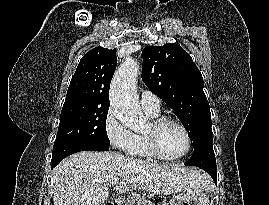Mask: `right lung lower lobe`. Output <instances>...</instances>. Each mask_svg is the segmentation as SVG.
Listing matches in <instances>:
<instances>
[{
  "instance_id": "98d812e1",
  "label": "right lung lower lobe",
  "mask_w": 269,
  "mask_h": 205,
  "mask_svg": "<svg viewBox=\"0 0 269 205\" xmlns=\"http://www.w3.org/2000/svg\"><path fill=\"white\" fill-rule=\"evenodd\" d=\"M85 150L107 151L109 150V146L100 145L94 142H84L80 140L55 143L53 146L51 167H55L65 157L73 153Z\"/></svg>"
}]
</instances>
